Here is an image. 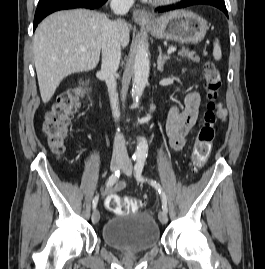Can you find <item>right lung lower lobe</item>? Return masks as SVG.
Returning <instances> with one entry per match:
<instances>
[{
  "label": "right lung lower lobe",
  "instance_id": "98d812e1",
  "mask_svg": "<svg viewBox=\"0 0 265 269\" xmlns=\"http://www.w3.org/2000/svg\"><path fill=\"white\" fill-rule=\"evenodd\" d=\"M107 0H40L34 17V30L38 23L52 12L73 8L95 9Z\"/></svg>",
  "mask_w": 265,
  "mask_h": 269
}]
</instances>
